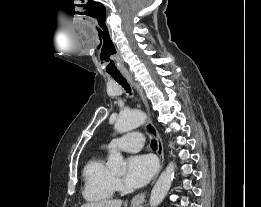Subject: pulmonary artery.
I'll return each mask as SVG.
<instances>
[{
  "mask_svg": "<svg viewBox=\"0 0 261 207\" xmlns=\"http://www.w3.org/2000/svg\"><path fill=\"white\" fill-rule=\"evenodd\" d=\"M143 142L144 138L140 132H131L121 138L111 141L108 145V149L137 152L142 148Z\"/></svg>",
  "mask_w": 261,
  "mask_h": 207,
  "instance_id": "e3ab8cb5",
  "label": "pulmonary artery"
}]
</instances>
